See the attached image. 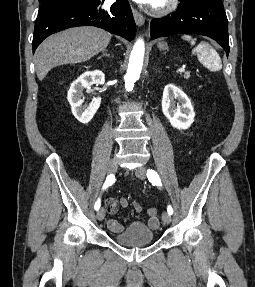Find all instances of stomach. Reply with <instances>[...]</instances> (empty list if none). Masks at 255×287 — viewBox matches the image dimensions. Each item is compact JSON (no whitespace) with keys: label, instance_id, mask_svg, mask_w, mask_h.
<instances>
[{"label":"stomach","instance_id":"obj_1","mask_svg":"<svg viewBox=\"0 0 255 287\" xmlns=\"http://www.w3.org/2000/svg\"><path fill=\"white\" fill-rule=\"evenodd\" d=\"M158 48L159 50H168V46L165 44V42H159Z\"/></svg>","mask_w":255,"mask_h":287}]
</instances>
